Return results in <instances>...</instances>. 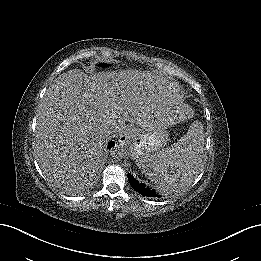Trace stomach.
<instances>
[{"instance_id": "1", "label": "stomach", "mask_w": 261, "mask_h": 261, "mask_svg": "<svg viewBox=\"0 0 261 261\" xmlns=\"http://www.w3.org/2000/svg\"><path fill=\"white\" fill-rule=\"evenodd\" d=\"M166 134L162 127V118L150 116L146 124L133 128L130 155L136 162L158 151L165 143Z\"/></svg>"}]
</instances>
